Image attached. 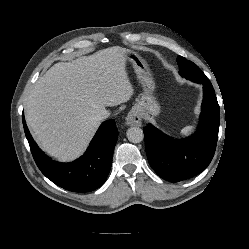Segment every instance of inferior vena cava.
<instances>
[{
    "label": "inferior vena cava",
    "instance_id": "inferior-vena-cava-1",
    "mask_svg": "<svg viewBox=\"0 0 249 249\" xmlns=\"http://www.w3.org/2000/svg\"><path fill=\"white\" fill-rule=\"evenodd\" d=\"M110 115V112L108 111V110H106V109H104V110H102V111H100L98 114H97V119L98 120H104V119H106L108 116Z\"/></svg>",
    "mask_w": 249,
    "mask_h": 249
}]
</instances>
